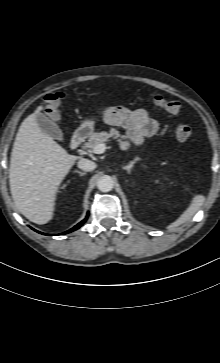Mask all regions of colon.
<instances>
[{
  "label": "colon",
  "instance_id": "colon-1",
  "mask_svg": "<svg viewBox=\"0 0 220 363\" xmlns=\"http://www.w3.org/2000/svg\"><path fill=\"white\" fill-rule=\"evenodd\" d=\"M62 97L61 93H51L45 98L43 111L51 120L58 118V105ZM151 99L157 107L165 110L169 114L177 115L181 111V104L177 100L166 99L158 94H151ZM175 133L178 140L184 142L191 137L192 130L189 125L180 123L176 126Z\"/></svg>",
  "mask_w": 220,
  "mask_h": 363
}]
</instances>
